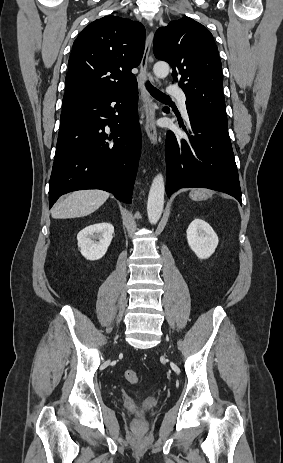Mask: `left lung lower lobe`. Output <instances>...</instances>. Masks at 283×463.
<instances>
[{
  "label": "left lung lower lobe",
  "mask_w": 283,
  "mask_h": 463,
  "mask_svg": "<svg viewBox=\"0 0 283 463\" xmlns=\"http://www.w3.org/2000/svg\"><path fill=\"white\" fill-rule=\"evenodd\" d=\"M169 112L168 108L164 109ZM191 126L187 138L167 133L165 155L168 197L184 187L225 192L240 204L241 190L227 123L197 114L187 107Z\"/></svg>",
  "instance_id": "1"
}]
</instances>
